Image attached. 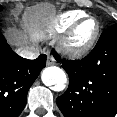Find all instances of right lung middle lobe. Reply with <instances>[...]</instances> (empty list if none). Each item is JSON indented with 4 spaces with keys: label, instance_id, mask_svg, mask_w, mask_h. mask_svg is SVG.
<instances>
[{
    "label": "right lung middle lobe",
    "instance_id": "1",
    "mask_svg": "<svg viewBox=\"0 0 117 117\" xmlns=\"http://www.w3.org/2000/svg\"><path fill=\"white\" fill-rule=\"evenodd\" d=\"M3 9V7L0 6V11Z\"/></svg>",
    "mask_w": 117,
    "mask_h": 117
}]
</instances>
